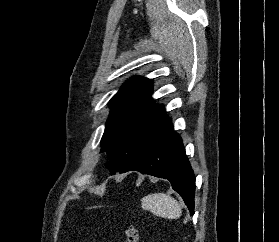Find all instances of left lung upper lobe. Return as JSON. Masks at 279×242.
I'll return each mask as SVG.
<instances>
[{"label": "left lung upper lobe", "instance_id": "left-lung-upper-lobe-1", "mask_svg": "<svg viewBox=\"0 0 279 242\" xmlns=\"http://www.w3.org/2000/svg\"><path fill=\"white\" fill-rule=\"evenodd\" d=\"M152 81L132 78L109 101L111 113L101 139V152H106V166L115 174L142 156L172 129L164 107L152 104Z\"/></svg>", "mask_w": 279, "mask_h": 242}]
</instances>
